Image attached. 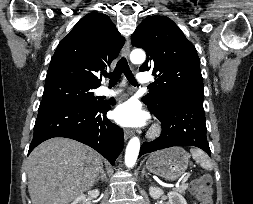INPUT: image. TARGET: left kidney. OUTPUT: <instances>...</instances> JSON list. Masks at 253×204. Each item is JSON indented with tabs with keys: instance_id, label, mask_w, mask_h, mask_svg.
<instances>
[{
	"instance_id": "1",
	"label": "left kidney",
	"mask_w": 253,
	"mask_h": 204,
	"mask_svg": "<svg viewBox=\"0 0 253 204\" xmlns=\"http://www.w3.org/2000/svg\"><path fill=\"white\" fill-rule=\"evenodd\" d=\"M149 194L153 199H158L164 194V192L160 188L151 186L149 188ZM167 197L169 198L168 204H187L184 197L177 192L171 191L167 194Z\"/></svg>"
}]
</instances>
